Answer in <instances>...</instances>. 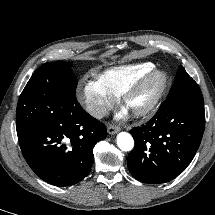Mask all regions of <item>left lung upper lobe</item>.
Returning <instances> with one entry per match:
<instances>
[{"label": "left lung upper lobe", "mask_w": 215, "mask_h": 215, "mask_svg": "<svg viewBox=\"0 0 215 215\" xmlns=\"http://www.w3.org/2000/svg\"><path fill=\"white\" fill-rule=\"evenodd\" d=\"M167 99H183L204 103L202 92L198 84L188 75L182 66L179 67L175 82Z\"/></svg>", "instance_id": "5c2ea615"}]
</instances>
